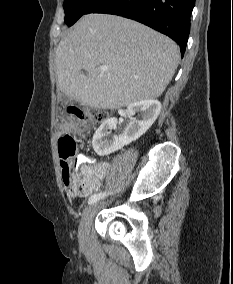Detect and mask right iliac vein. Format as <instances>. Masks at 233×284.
I'll use <instances>...</instances> for the list:
<instances>
[{
  "mask_svg": "<svg viewBox=\"0 0 233 284\" xmlns=\"http://www.w3.org/2000/svg\"><path fill=\"white\" fill-rule=\"evenodd\" d=\"M100 207V203H93L83 211L78 230L79 243L81 247L86 248L89 245V233L92 219Z\"/></svg>",
  "mask_w": 233,
  "mask_h": 284,
  "instance_id": "63e3f726",
  "label": "right iliac vein"
}]
</instances>
